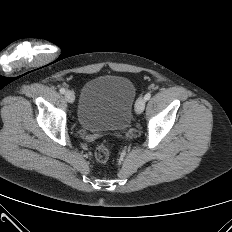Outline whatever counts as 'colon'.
I'll list each match as a JSON object with an SVG mask.
<instances>
[{"instance_id": "1", "label": "colon", "mask_w": 232, "mask_h": 232, "mask_svg": "<svg viewBox=\"0 0 232 232\" xmlns=\"http://www.w3.org/2000/svg\"><path fill=\"white\" fill-rule=\"evenodd\" d=\"M110 157V146L107 143L100 144L95 150V158L99 162H106Z\"/></svg>"}]
</instances>
